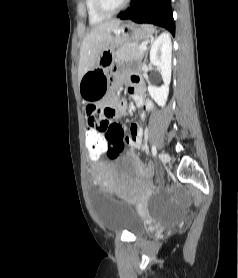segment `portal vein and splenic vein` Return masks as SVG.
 <instances>
[{
    "instance_id": "18ae733b",
    "label": "portal vein and splenic vein",
    "mask_w": 238,
    "mask_h": 278,
    "mask_svg": "<svg viewBox=\"0 0 238 278\" xmlns=\"http://www.w3.org/2000/svg\"><path fill=\"white\" fill-rule=\"evenodd\" d=\"M139 49L142 50V51H145L146 50V46L144 44H141L139 46Z\"/></svg>"
}]
</instances>
